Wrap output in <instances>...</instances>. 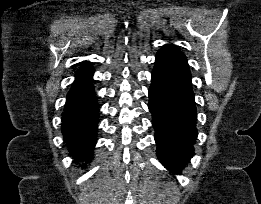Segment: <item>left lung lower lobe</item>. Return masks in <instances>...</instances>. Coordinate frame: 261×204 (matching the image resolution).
I'll list each match as a JSON object with an SVG mask.
<instances>
[{
    "label": "left lung lower lobe",
    "mask_w": 261,
    "mask_h": 204,
    "mask_svg": "<svg viewBox=\"0 0 261 204\" xmlns=\"http://www.w3.org/2000/svg\"><path fill=\"white\" fill-rule=\"evenodd\" d=\"M148 94L157 156L168 170L181 173L194 155L197 111L187 59L176 46L158 51Z\"/></svg>",
    "instance_id": "0a47b994"
}]
</instances>
